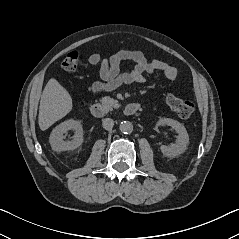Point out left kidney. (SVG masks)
Returning <instances> with one entry per match:
<instances>
[{
  "mask_svg": "<svg viewBox=\"0 0 239 239\" xmlns=\"http://www.w3.org/2000/svg\"><path fill=\"white\" fill-rule=\"evenodd\" d=\"M157 125L170 126L178 134L174 144L160 146V150L164 156L170 158L176 157L187 150L189 145V136L186 128L181 123L171 118H161L157 122Z\"/></svg>",
  "mask_w": 239,
  "mask_h": 239,
  "instance_id": "5707ae66",
  "label": "left kidney"
}]
</instances>
